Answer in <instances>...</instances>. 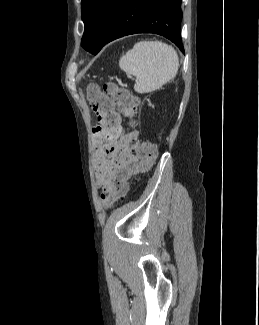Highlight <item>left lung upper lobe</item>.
<instances>
[{
	"instance_id": "1",
	"label": "left lung upper lobe",
	"mask_w": 259,
	"mask_h": 325,
	"mask_svg": "<svg viewBox=\"0 0 259 325\" xmlns=\"http://www.w3.org/2000/svg\"><path fill=\"white\" fill-rule=\"evenodd\" d=\"M122 0H82L85 25L81 45L96 55L102 48L108 26Z\"/></svg>"
}]
</instances>
